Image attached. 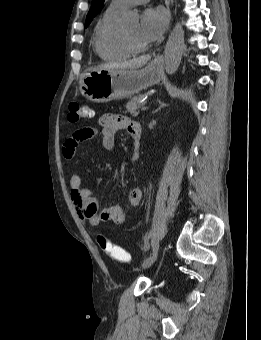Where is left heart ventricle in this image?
Instances as JSON below:
<instances>
[{
  "label": "left heart ventricle",
  "instance_id": "obj_1",
  "mask_svg": "<svg viewBox=\"0 0 261 340\" xmlns=\"http://www.w3.org/2000/svg\"><path fill=\"white\" fill-rule=\"evenodd\" d=\"M128 36L139 46H146L147 44L140 35V28L138 24H135L125 30Z\"/></svg>",
  "mask_w": 261,
  "mask_h": 340
}]
</instances>
